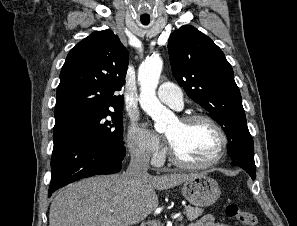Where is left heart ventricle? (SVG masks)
<instances>
[{"instance_id":"left-heart-ventricle-1","label":"left heart ventricle","mask_w":297,"mask_h":226,"mask_svg":"<svg viewBox=\"0 0 297 226\" xmlns=\"http://www.w3.org/2000/svg\"><path fill=\"white\" fill-rule=\"evenodd\" d=\"M177 155L190 163H205L216 153L219 136L211 125L203 121L183 124L171 123L165 131Z\"/></svg>"}]
</instances>
